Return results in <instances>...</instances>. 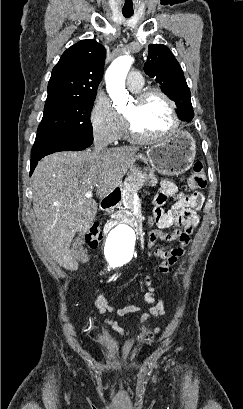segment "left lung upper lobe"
Segmentation results:
<instances>
[{
  "instance_id": "obj_1",
  "label": "left lung upper lobe",
  "mask_w": 243,
  "mask_h": 409,
  "mask_svg": "<svg viewBox=\"0 0 243 409\" xmlns=\"http://www.w3.org/2000/svg\"><path fill=\"white\" fill-rule=\"evenodd\" d=\"M144 71L155 78L162 91L175 101L180 119L190 122L194 117L190 90L181 66L169 48L162 44L149 45Z\"/></svg>"
}]
</instances>
